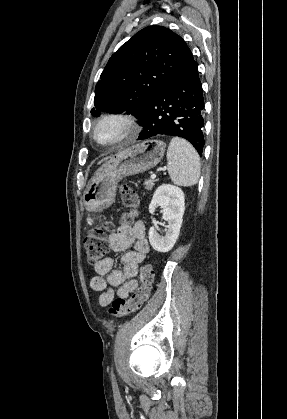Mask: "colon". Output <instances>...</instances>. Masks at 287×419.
Returning <instances> with one entry per match:
<instances>
[{
	"instance_id": "5ec220e1",
	"label": "colon",
	"mask_w": 287,
	"mask_h": 419,
	"mask_svg": "<svg viewBox=\"0 0 287 419\" xmlns=\"http://www.w3.org/2000/svg\"><path fill=\"white\" fill-rule=\"evenodd\" d=\"M123 205L129 209L130 215L134 214L138 204L136 192L128 185L120 188ZM114 225L111 222H104L90 230L84 238V246L88 260L91 264L97 265L105 259L108 252L107 233L113 231ZM140 287L129 299L117 298L109 307V314L120 318L138 311L148 300L153 282V270L150 265H144L140 271Z\"/></svg>"
}]
</instances>
